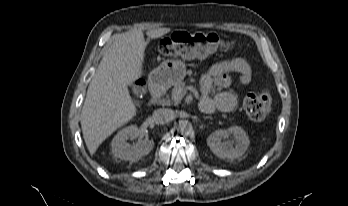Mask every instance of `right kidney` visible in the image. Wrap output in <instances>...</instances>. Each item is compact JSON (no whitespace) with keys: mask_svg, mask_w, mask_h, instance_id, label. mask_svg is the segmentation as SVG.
Listing matches in <instances>:
<instances>
[{"mask_svg":"<svg viewBox=\"0 0 348 206\" xmlns=\"http://www.w3.org/2000/svg\"><path fill=\"white\" fill-rule=\"evenodd\" d=\"M139 135L138 127L131 125L120 130L111 142L112 154L125 161L135 162L143 156L149 154L154 147L152 140H143L133 147L127 142L128 139L133 140Z\"/></svg>","mask_w":348,"mask_h":206,"instance_id":"obj_1","label":"right kidney"}]
</instances>
